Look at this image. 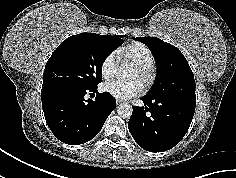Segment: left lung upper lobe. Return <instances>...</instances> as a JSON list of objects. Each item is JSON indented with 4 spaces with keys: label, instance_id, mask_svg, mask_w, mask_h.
Masks as SVG:
<instances>
[{
    "label": "left lung upper lobe",
    "instance_id": "5c2ea615",
    "mask_svg": "<svg viewBox=\"0 0 236 178\" xmlns=\"http://www.w3.org/2000/svg\"><path fill=\"white\" fill-rule=\"evenodd\" d=\"M136 40L149 47L157 63L156 84L145 96L196 102L194 75L180 50L156 37H137Z\"/></svg>",
    "mask_w": 236,
    "mask_h": 178
}]
</instances>
